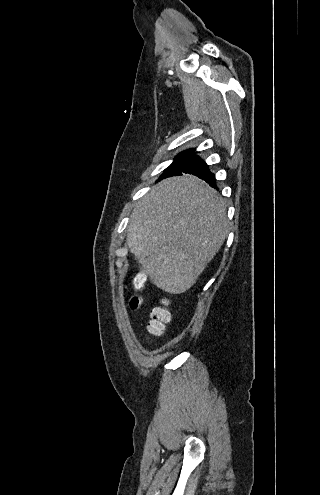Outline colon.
I'll return each instance as SVG.
<instances>
[{"label": "colon", "mask_w": 320, "mask_h": 495, "mask_svg": "<svg viewBox=\"0 0 320 495\" xmlns=\"http://www.w3.org/2000/svg\"><path fill=\"white\" fill-rule=\"evenodd\" d=\"M145 280L141 275H136L133 278V286L136 289H141L144 287ZM142 299L139 295L134 294L129 300V306L131 309H137L141 304ZM171 314L170 311L164 307H156L152 310L151 320L148 324V330L152 335H161L164 331L165 324L170 321Z\"/></svg>", "instance_id": "colon-1"}]
</instances>
